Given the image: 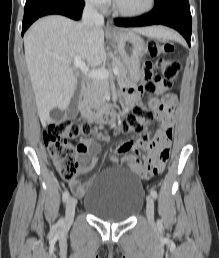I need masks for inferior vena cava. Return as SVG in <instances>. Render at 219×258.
I'll return each mask as SVG.
<instances>
[{
	"label": "inferior vena cava",
	"mask_w": 219,
	"mask_h": 258,
	"mask_svg": "<svg viewBox=\"0 0 219 258\" xmlns=\"http://www.w3.org/2000/svg\"><path fill=\"white\" fill-rule=\"evenodd\" d=\"M82 22L89 28L102 26L104 24V17L98 13L93 3H86L83 15Z\"/></svg>",
	"instance_id": "obj_1"
}]
</instances>
